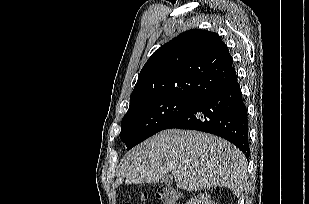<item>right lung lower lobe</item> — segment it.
<instances>
[{
	"instance_id": "obj_1",
	"label": "right lung lower lobe",
	"mask_w": 309,
	"mask_h": 204,
	"mask_svg": "<svg viewBox=\"0 0 309 204\" xmlns=\"http://www.w3.org/2000/svg\"><path fill=\"white\" fill-rule=\"evenodd\" d=\"M171 128L220 136L249 156L248 114L237 79L200 98L165 129Z\"/></svg>"
}]
</instances>
